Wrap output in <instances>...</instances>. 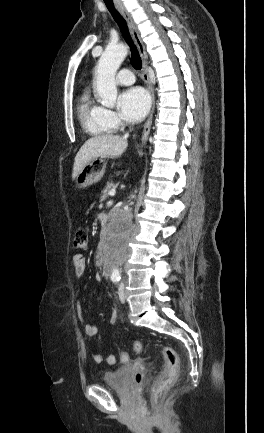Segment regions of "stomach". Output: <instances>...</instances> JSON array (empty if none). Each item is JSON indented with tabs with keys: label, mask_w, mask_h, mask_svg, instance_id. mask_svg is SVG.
Instances as JSON below:
<instances>
[{
	"label": "stomach",
	"mask_w": 264,
	"mask_h": 433,
	"mask_svg": "<svg viewBox=\"0 0 264 433\" xmlns=\"http://www.w3.org/2000/svg\"><path fill=\"white\" fill-rule=\"evenodd\" d=\"M106 162L102 158H94L84 165L76 177L78 188H86L101 180L105 173Z\"/></svg>",
	"instance_id": "1"
}]
</instances>
